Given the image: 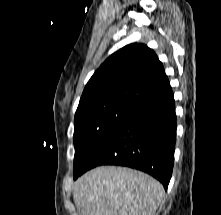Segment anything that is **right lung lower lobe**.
<instances>
[{"label":"right lung lower lobe","instance_id":"98d812e1","mask_svg":"<svg viewBox=\"0 0 221 215\" xmlns=\"http://www.w3.org/2000/svg\"><path fill=\"white\" fill-rule=\"evenodd\" d=\"M175 140V101L169 86L136 104L74 179L99 165H120L150 174L167 189L174 165Z\"/></svg>","mask_w":221,"mask_h":215}]
</instances>
